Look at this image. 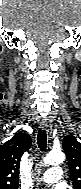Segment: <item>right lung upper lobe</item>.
Returning <instances> with one entry per match:
<instances>
[{
	"instance_id": "1",
	"label": "right lung upper lobe",
	"mask_w": 81,
	"mask_h": 189,
	"mask_svg": "<svg viewBox=\"0 0 81 189\" xmlns=\"http://www.w3.org/2000/svg\"><path fill=\"white\" fill-rule=\"evenodd\" d=\"M31 143L29 134L17 133L0 146V189L18 188L20 160Z\"/></svg>"
}]
</instances>
